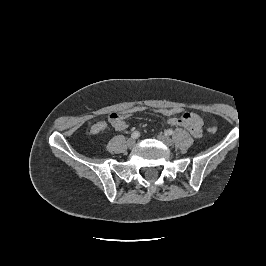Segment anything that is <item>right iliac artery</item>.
I'll return each mask as SVG.
<instances>
[{"label":"right iliac artery","instance_id":"82829eb1","mask_svg":"<svg viewBox=\"0 0 266 266\" xmlns=\"http://www.w3.org/2000/svg\"><path fill=\"white\" fill-rule=\"evenodd\" d=\"M131 136H132V138L136 139V138H138L140 136V133L138 131H135V132L132 133Z\"/></svg>","mask_w":266,"mask_h":266}]
</instances>
